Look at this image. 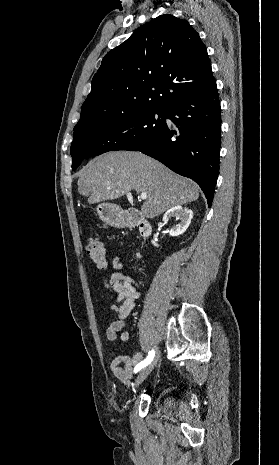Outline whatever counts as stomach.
Returning <instances> with one entry per match:
<instances>
[{"mask_svg":"<svg viewBox=\"0 0 279 465\" xmlns=\"http://www.w3.org/2000/svg\"><path fill=\"white\" fill-rule=\"evenodd\" d=\"M97 214L102 221L113 227H124L127 225V218L122 209L112 203H101L96 208Z\"/></svg>","mask_w":279,"mask_h":465,"instance_id":"1","label":"stomach"}]
</instances>
